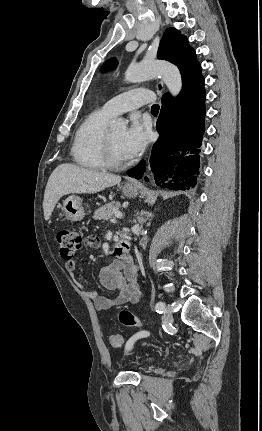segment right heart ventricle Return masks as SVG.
Segmentation results:
<instances>
[{"label":"right heart ventricle","instance_id":"right-heart-ventricle-1","mask_svg":"<svg viewBox=\"0 0 262 431\" xmlns=\"http://www.w3.org/2000/svg\"><path fill=\"white\" fill-rule=\"evenodd\" d=\"M112 116L104 107H101L88 114L79 125L71 153L81 167L91 170H101L106 167L104 138L107 122Z\"/></svg>","mask_w":262,"mask_h":431}]
</instances>
